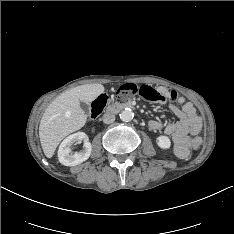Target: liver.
I'll return each mask as SVG.
<instances>
[{
    "label": "liver",
    "instance_id": "obj_1",
    "mask_svg": "<svg viewBox=\"0 0 234 234\" xmlns=\"http://www.w3.org/2000/svg\"><path fill=\"white\" fill-rule=\"evenodd\" d=\"M104 92L101 84H86L59 95L46 108L39 125L43 152L51 158L63 138L81 129L87 116L80 102L90 103Z\"/></svg>",
    "mask_w": 234,
    "mask_h": 234
}]
</instances>
